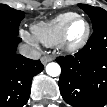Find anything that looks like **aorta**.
Returning a JSON list of instances; mask_svg holds the SVG:
<instances>
[{"label": "aorta", "instance_id": "aorta-1", "mask_svg": "<svg viewBox=\"0 0 107 107\" xmlns=\"http://www.w3.org/2000/svg\"><path fill=\"white\" fill-rule=\"evenodd\" d=\"M46 73L51 77H57L61 73V67L55 62L48 63L46 66Z\"/></svg>", "mask_w": 107, "mask_h": 107}]
</instances>
